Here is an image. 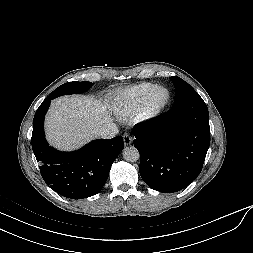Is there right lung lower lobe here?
Returning <instances> with one entry per match:
<instances>
[{
    "instance_id": "right-lung-lower-lobe-1",
    "label": "right lung lower lobe",
    "mask_w": 253,
    "mask_h": 253,
    "mask_svg": "<svg viewBox=\"0 0 253 253\" xmlns=\"http://www.w3.org/2000/svg\"><path fill=\"white\" fill-rule=\"evenodd\" d=\"M52 96L37 109L33 120L32 149L46 184L58 194L82 199L97 194L108 179L112 163L124 147L121 136L98 139L78 151L65 153L50 147L44 137V118Z\"/></svg>"
}]
</instances>
